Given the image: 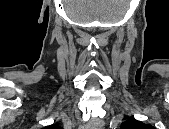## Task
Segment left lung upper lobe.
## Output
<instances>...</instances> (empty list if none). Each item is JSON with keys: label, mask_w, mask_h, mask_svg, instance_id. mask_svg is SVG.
I'll return each mask as SVG.
<instances>
[{"label": "left lung upper lobe", "mask_w": 169, "mask_h": 129, "mask_svg": "<svg viewBox=\"0 0 169 129\" xmlns=\"http://www.w3.org/2000/svg\"><path fill=\"white\" fill-rule=\"evenodd\" d=\"M153 127L148 124H144L141 121L135 119H129L122 123L121 129H152Z\"/></svg>", "instance_id": "1"}]
</instances>
